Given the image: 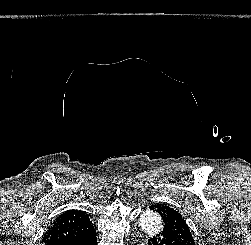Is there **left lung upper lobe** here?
Returning <instances> with one entry per match:
<instances>
[{
    "label": "left lung upper lobe",
    "instance_id": "left-lung-upper-lobe-1",
    "mask_svg": "<svg viewBox=\"0 0 251 245\" xmlns=\"http://www.w3.org/2000/svg\"><path fill=\"white\" fill-rule=\"evenodd\" d=\"M150 209L158 212L164 222L163 232H169L184 245H195L191 231L184 218L173 208L165 204H152Z\"/></svg>",
    "mask_w": 251,
    "mask_h": 245
}]
</instances>
